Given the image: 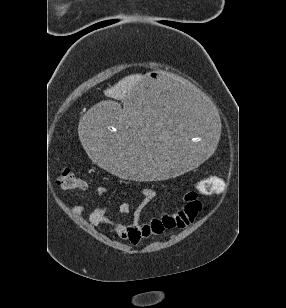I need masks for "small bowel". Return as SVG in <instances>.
I'll list each match as a JSON object with an SVG mask.
<instances>
[{
  "instance_id": "c3829d8e",
  "label": "small bowel",
  "mask_w": 286,
  "mask_h": 308,
  "mask_svg": "<svg viewBox=\"0 0 286 308\" xmlns=\"http://www.w3.org/2000/svg\"><path fill=\"white\" fill-rule=\"evenodd\" d=\"M97 193L103 197L106 193L104 188H98ZM156 196L152 188H143L140 191V200L135 209L132 222L125 224L117 219L108 217L101 206L95 208L89 215L88 221L91 225H106L117 237L128 241L132 245L139 244L142 240L159 236L166 230L185 228L193 222L202 209V201L195 190H189L184 195V204L175 213L164 214L154 217L147 222L141 220V210ZM86 211L82 205L72 208L74 214H83ZM120 213H128L130 207L127 203L118 205Z\"/></svg>"
}]
</instances>
